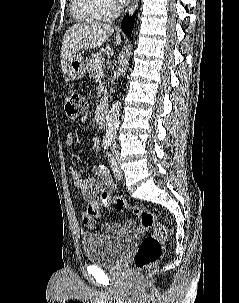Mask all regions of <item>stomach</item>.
<instances>
[{"label":"stomach","mask_w":239,"mask_h":303,"mask_svg":"<svg viewBox=\"0 0 239 303\" xmlns=\"http://www.w3.org/2000/svg\"><path fill=\"white\" fill-rule=\"evenodd\" d=\"M64 71L71 79L83 78L86 74L84 57L80 53L71 55L65 63Z\"/></svg>","instance_id":"1"}]
</instances>
